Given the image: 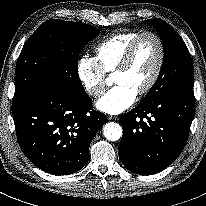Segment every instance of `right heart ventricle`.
<instances>
[{"instance_id":"e07e8e85","label":"right heart ventricle","mask_w":206,"mask_h":206,"mask_svg":"<svg viewBox=\"0 0 206 206\" xmlns=\"http://www.w3.org/2000/svg\"><path fill=\"white\" fill-rule=\"evenodd\" d=\"M141 33L131 30L113 34L95 49L96 59L105 73L114 72L121 62L130 43Z\"/></svg>"}]
</instances>
